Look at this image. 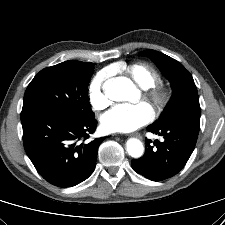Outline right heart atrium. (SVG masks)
<instances>
[{"label": "right heart atrium", "instance_id": "obj_1", "mask_svg": "<svg viewBox=\"0 0 225 225\" xmlns=\"http://www.w3.org/2000/svg\"><path fill=\"white\" fill-rule=\"evenodd\" d=\"M108 73V70L100 71L90 82L89 100L92 108L95 111H101L105 109L110 103L104 90V83Z\"/></svg>", "mask_w": 225, "mask_h": 225}]
</instances>
